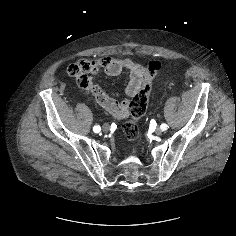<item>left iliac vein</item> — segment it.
<instances>
[{"mask_svg":"<svg viewBox=\"0 0 236 236\" xmlns=\"http://www.w3.org/2000/svg\"><path fill=\"white\" fill-rule=\"evenodd\" d=\"M162 131H163V130H162L161 128H156V129H155V133L158 134V135L161 134Z\"/></svg>","mask_w":236,"mask_h":236,"instance_id":"4c4485c4","label":"left iliac vein"}]
</instances>
